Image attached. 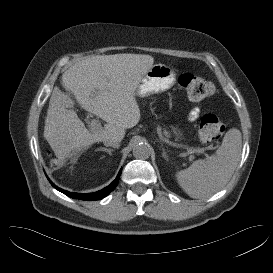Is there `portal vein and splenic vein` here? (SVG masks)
<instances>
[{"mask_svg":"<svg viewBox=\"0 0 273 273\" xmlns=\"http://www.w3.org/2000/svg\"><path fill=\"white\" fill-rule=\"evenodd\" d=\"M102 127L100 125V123L97 121V120H93L92 123H91V130L92 131H98L100 130ZM166 143L170 144V145H173L172 142L166 140V139H163ZM189 152L192 154V153H204L203 150H199V149H190ZM204 155L206 157H208V154L207 153H204Z\"/></svg>","mask_w":273,"mask_h":273,"instance_id":"1","label":"portal vein and splenic vein"}]
</instances>
